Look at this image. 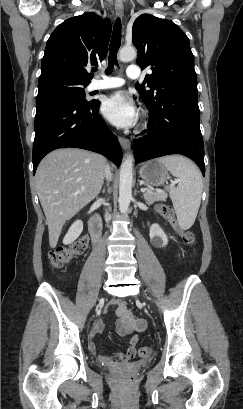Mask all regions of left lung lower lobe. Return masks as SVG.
I'll return each instance as SVG.
<instances>
[{
  "mask_svg": "<svg viewBox=\"0 0 243 409\" xmlns=\"http://www.w3.org/2000/svg\"><path fill=\"white\" fill-rule=\"evenodd\" d=\"M147 108L150 113V134L134 142L136 163L169 154H182L191 158L204 176V144L199 127L198 90H176Z\"/></svg>",
  "mask_w": 243,
  "mask_h": 409,
  "instance_id": "obj_1",
  "label": "left lung lower lobe"
}]
</instances>
